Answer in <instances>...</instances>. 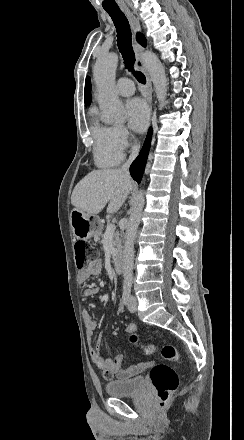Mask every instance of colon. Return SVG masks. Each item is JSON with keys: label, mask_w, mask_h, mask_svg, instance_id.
Segmentation results:
<instances>
[{"label": "colon", "mask_w": 244, "mask_h": 440, "mask_svg": "<svg viewBox=\"0 0 244 440\" xmlns=\"http://www.w3.org/2000/svg\"><path fill=\"white\" fill-rule=\"evenodd\" d=\"M97 255V251L94 247H89L83 240H79L75 244V262L78 270L86 268L87 263L92 261ZM136 326L135 322H132L128 327L129 331H134ZM138 338L131 336L130 342L137 343ZM142 353L144 355H152L159 352L160 355L168 361L178 362L181 360V355L177 347L174 345L166 344L161 348H158L154 344H141ZM151 380L155 388L156 395L160 400V408H165V404L170 400L172 392L178 387V377L176 373L165 364H158L152 366ZM108 381L112 380V375L105 376Z\"/></svg>", "instance_id": "5ec220e1"}]
</instances>
